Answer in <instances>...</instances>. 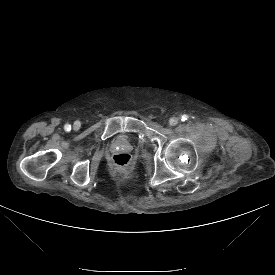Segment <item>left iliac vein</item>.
<instances>
[{"mask_svg":"<svg viewBox=\"0 0 275 275\" xmlns=\"http://www.w3.org/2000/svg\"><path fill=\"white\" fill-rule=\"evenodd\" d=\"M178 122H179V118H177V117H171L169 120V124L171 126H175Z\"/></svg>","mask_w":275,"mask_h":275,"instance_id":"left-iliac-vein-1","label":"left iliac vein"}]
</instances>
